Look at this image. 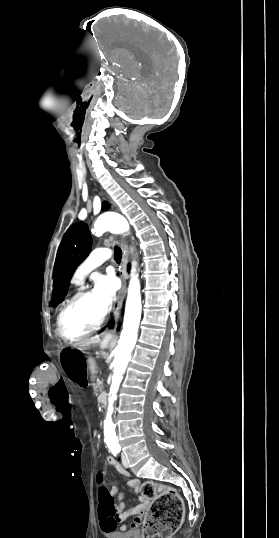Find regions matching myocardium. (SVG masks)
Instances as JSON below:
<instances>
[{
    "mask_svg": "<svg viewBox=\"0 0 279 538\" xmlns=\"http://www.w3.org/2000/svg\"><path fill=\"white\" fill-rule=\"evenodd\" d=\"M105 232V227L102 225V223L100 222V224L98 225V228H97V232L95 233L96 235H102L103 233ZM93 293V290H88V289H82L80 290L79 292H77L68 302L67 304L63 307V309L61 310V312L59 313L58 315V318H57V332L59 334V336L66 342H69V343H76V342H79L89 336H91L92 334L96 333L101 325L103 324L104 320H105V317H106V312H104L101 317L99 318V320L97 321V323L89 330H87L86 332L76 336V337H69L67 336L65 333H64V330H63V320H64V317L66 315V313L68 312V310L74 306L76 303L80 302L81 300L85 299L86 297H88L90 294Z\"/></svg>",
    "mask_w": 279,
    "mask_h": 538,
    "instance_id": "1",
    "label": "myocardium"
}]
</instances>
